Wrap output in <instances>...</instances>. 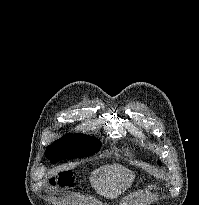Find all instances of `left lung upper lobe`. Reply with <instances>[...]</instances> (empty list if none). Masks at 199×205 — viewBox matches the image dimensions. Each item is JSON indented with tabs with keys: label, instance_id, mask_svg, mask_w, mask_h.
Instances as JSON below:
<instances>
[{
	"label": "left lung upper lobe",
	"instance_id": "left-lung-upper-lobe-1",
	"mask_svg": "<svg viewBox=\"0 0 199 205\" xmlns=\"http://www.w3.org/2000/svg\"><path fill=\"white\" fill-rule=\"evenodd\" d=\"M158 164L161 165V162L159 161Z\"/></svg>",
	"mask_w": 199,
	"mask_h": 205
}]
</instances>
